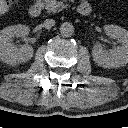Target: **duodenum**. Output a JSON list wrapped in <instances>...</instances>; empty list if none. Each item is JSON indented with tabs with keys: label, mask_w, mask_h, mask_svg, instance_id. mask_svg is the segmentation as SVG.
Wrapping results in <instances>:
<instances>
[{
	"label": "duodenum",
	"mask_w": 128,
	"mask_h": 128,
	"mask_svg": "<svg viewBox=\"0 0 128 128\" xmlns=\"http://www.w3.org/2000/svg\"><path fill=\"white\" fill-rule=\"evenodd\" d=\"M42 9L41 1L35 0L30 7L29 13L33 18H37L41 15ZM77 11L81 15H88L91 12V7L88 2H81L78 5Z\"/></svg>",
	"instance_id": "obj_1"
}]
</instances>
